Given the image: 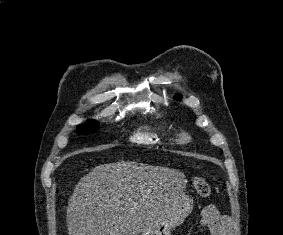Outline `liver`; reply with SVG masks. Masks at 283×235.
Segmentation results:
<instances>
[{
  "mask_svg": "<svg viewBox=\"0 0 283 235\" xmlns=\"http://www.w3.org/2000/svg\"><path fill=\"white\" fill-rule=\"evenodd\" d=\"M178 170L134 161L102 164L75 186L69 235H138L163 219L186 186Z\"/></svg>",
  "mask_w": 283,
  "mask_h": 235,
  "instance_id": "6515ba94",
  "label": "liver"
}]
</instances>
